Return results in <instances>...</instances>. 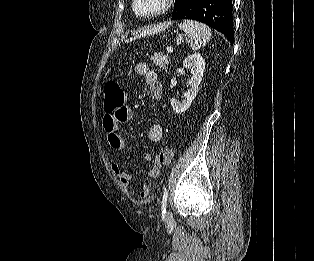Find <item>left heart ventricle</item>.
Listing matches in <instances>:
<instances>
[{"label":"left heart ventricle","mask_w":314,"mask_h":261,"mask_svg":"<svg viewBox=\"0 0 314 261\" xmlns=\"http://www.w3.org/2000/svg\"><path fill=\"white\" fill-rule=\"evenodd\" d=\"M164 0H137V9L141 13H151L162 7Z\"/></svg>","instance_id":"b2bd125f"}]
</instances>
